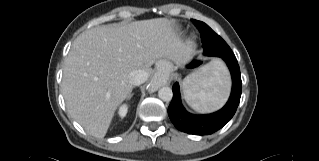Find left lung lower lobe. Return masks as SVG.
Listing matches in <instances>:
<instances>
[{
  "instance_id": "obj_1",
  "label": "left lung lower lobe",
  "mask_w": 319,
  "mask_h": 161,
  "mask_svg": "<svg viewBox=\"0 0 319 161\" xmlns=\"http://www.w3.org/2000/svg\"><path fill=\"white\" fill-rule=\"evenodd\" d=\"M207 31L212 33L213 30L209 28ZM220 58L226 62L232 76V91L228 102L222 109L212 114H190L181 103L179 85L175 83L172 88L173 99L168 107V115L178 130L188 134L209 135L221 129L234 116L242 91L240 68L233 53H226Z\"/></svg>"
}]
</instances>
